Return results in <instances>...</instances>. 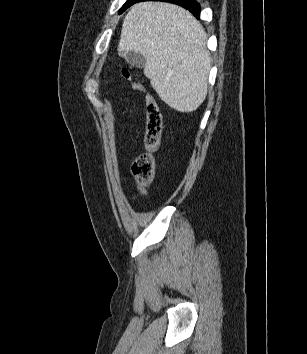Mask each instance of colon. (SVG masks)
Masks as SVG:
<instances>
[{"mask_svg": "<svg viewBox=\"0 0 307 354\" xmlns=\"http://www.w3.org/2000/svg\"><path fill=\"white\" fill-rule=\"evenodd\" d=\"M121 76L131 80V73L127 68L120 69ZM135 87L142 89L139 83ZM163 137V114L154 97L146 95V129L144 145L146 151L139 154L132 162L131 170L141 189L150 184L156 175V157Z\"/></svg>", "mask_w": 307, "mask_h": 354, "instance_id": "1", "label": "colon"}]
</instances>
